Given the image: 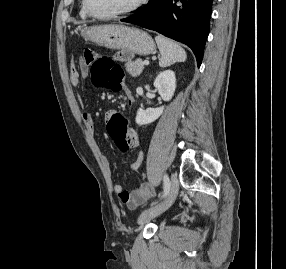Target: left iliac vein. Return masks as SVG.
Masks as SVG:
<instances>
[{
	"mask_svg": "<svg viewBox=\"0 0 286 269\" xmlns=\"http://www.w3.org/2000/svg\"><path fill=\"white\" fill-rule=\"evenodd\" d=\"M178 190L179 182L177 176L175 174H172L170 189L166 198L161 203L142 212L138 219L139 225H143L151 219L165 212L174 203L178 194Z\"/></svg>",
	"mask_w": 286,
	"mask_h": 269,
	"instance_id": "4c4485c4",
	"label": "left iliac vein"
}]
</instances>
